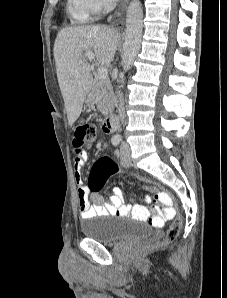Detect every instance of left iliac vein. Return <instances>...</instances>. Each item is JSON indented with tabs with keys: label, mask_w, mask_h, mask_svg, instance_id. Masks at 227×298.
<instances>
[{
	"label": "left iliac vein",
	"mask_w": 227,
	"mask_h": 298,
	"mask_svg": "<svg viewBox=\"0 0 227 298\" xmlns=\"http://www.w3.org/2000/svg\"><path fill=\"white\" fill-rule=\"evenodd\" d=\"M130 148L127 144H124L121 148V164L123 167H130L131 166V156H130Z\"/></svg>",
	"instance_id": "left-iliac-vein-1"
}]
</instances>
